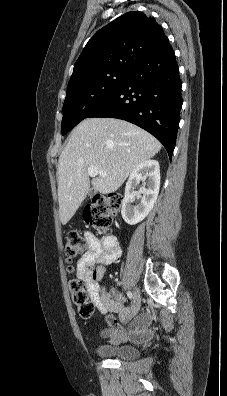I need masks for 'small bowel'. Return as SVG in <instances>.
I'll return each mask as SVG.
<instances>
[{
  "label": "small bowel",
  "instance_id": "1",
  "mask_svg": "<svg viewBox=\"0 0 227 396\" xmlns=\"http://www.w3.org/2000/svg\"><path fill=\"white\" fill-rule=\"evenodd\" d=\"M85 237L88 250L78 260L77 277L83 281L91 301L101 313H116L121 323L129 324V330L125 331L113 316H109L108 322L111 326L104 329L102 335L113 342L126 339L136 342L148 341L151 336L148 329L150 316H132L131 310L125 306V296L115 288L108 291L101 284L106 267L114 263L121 254L117 239L113 236L99 239L90 232H86Z\"/></svg>",
  "mask_w": 227,
  "mask_h": 396
}]
</instances>
